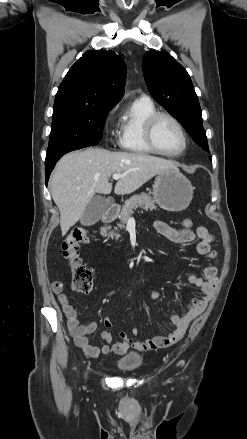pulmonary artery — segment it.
Here are the masks:
<instances>
[{"mask_svg": "<svg viewBox=\"0 0 247 439\" xmlns=\"http://www.w3.org/2000/svg\"><path fill=\"white\" fill-rule=\"evenodd\" d=\"M139 99L149 100L147 96H141Z\"/></svg>", "mask_w": 247, "mask_h": 439, "instance_id": "obj_1", "label": "pulmonary artery"}]
</instances>
